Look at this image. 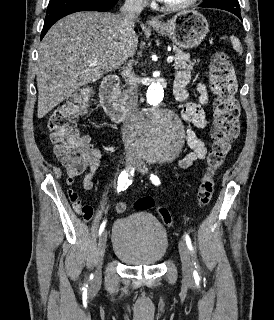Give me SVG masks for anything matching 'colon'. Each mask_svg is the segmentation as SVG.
Instances as JSON below:
<instances>
[{
  "instance_id": "1",
  "label": "colon",
  "mask_w": 274,
  "mask_h": 320,
  "mask_svg": "<svg viewBox=\"0 0 274 320\" xmlns=\"http://www.w3.org/2000/svg\"><path fill=\"white\" fill-rule=\"evenodd\" d=\"M209 76L216 99L211 131L212 146L206 170L197 191V203L202 207L211 201L215 172L221 166L231 143L237 137L240 115V106L236 99L237 75L225 52H217L213 55ZM83 104L81 95L69 96L51 113L48 121L54 153L69 171L68 184H72L74 176L85 170L88 161L94 156L90 138L82 135L76 128ZM68 196L79 195L76 190L70 188ZM154 205V200L149 197L137 199L133 204L137 211L150 210ZM157 208L156 212L163 222L171 226L173 219L169 210L164 207L157 206ZM127 209V205L123 202L115 204L118 214L125 213Z\"/></svg>"
}]
</instances>
